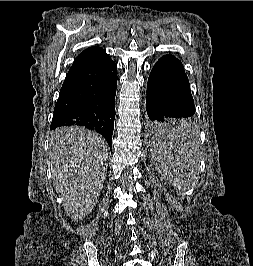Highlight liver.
<instances>
[{
  "label": "liver",
  "mask_w": 253,
  "mask_h": 266,
  "mask_svg": "<svg viewBox=\"0 0 253 266\" xmlns=\"http://www.w3.org/2000/svg\"><path fill=\"white\" fill-rule=\"evenodd\" d=\"M108 151L100 134L83 127L52 132L49 162L53 184L72 220H82L95 207L106 176Z\"/></svg>",
  "instance_id": "liver-1"
}]
</instances>
